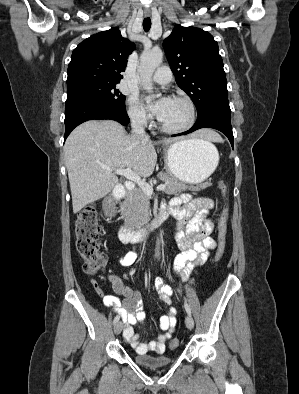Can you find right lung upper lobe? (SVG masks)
Masks as SVG:
<instances>
[{"mask_svg":"<svg viewBox=\"0 0 299 394\" xmlns=\"http://www.w3.org/2000/svg\"><path fill=\"white\" fill-rule=\"evenodd\" d=\"M134 49L135 45L116 27L90 36L72 53L67 88L91 82L119 83Z\"/></svg>","mask_w":299,"mask_h":394,"instance_id":"cb5924a9","label":"right lung upper lobe"}]
</instances>
